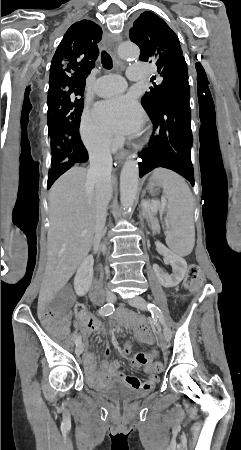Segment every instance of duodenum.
I'll list each match as a JSON object with an SVG mask.
<instances>
[{
	"label": "duodenum",
	"instance_id": "duodenum-1",
	"mask_svg": "<svg viewBox=\"0 0 241 450\" xmlns=\"http://www.w3.org/2000/svg\"><path fill=\"white\" fill-rule=\"evenodd\" d=\"M91 296L93 300L100 301L102 298V290L100 288V284L98 282H95L93 285V289L91 292Z\"/></svg>",
	"mask_w": 241,
	"mask_h": 450
}]
</instances>
